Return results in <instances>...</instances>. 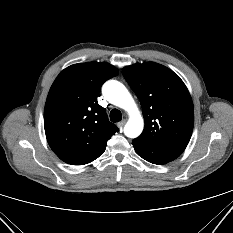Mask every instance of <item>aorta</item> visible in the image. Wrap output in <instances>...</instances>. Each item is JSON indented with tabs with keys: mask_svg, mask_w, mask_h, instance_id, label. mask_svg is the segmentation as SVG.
I'll list each match as a JSON object with an SVG mask.
<instances>
[{
	"mask_svg": "<svg viewBox=\"0 0 233 233\" xmlns=\"http://www.w3.org/2000/svg\"><path fill=\"white\" fill-rule=\"evenodd\" d=\"M105 98L129 113V120L124 127V133L129 138L138 137L144 126L143 118L127 88L116 80H109L103 86Z\"/></svg>",
	"mask_w": 233,
	"mask_h": 233,
	"instance_id": "1",
	"label": "aorta"
}]
</instances>
